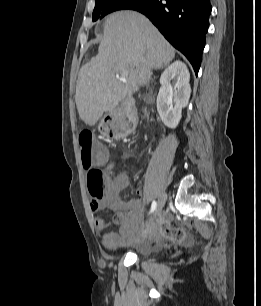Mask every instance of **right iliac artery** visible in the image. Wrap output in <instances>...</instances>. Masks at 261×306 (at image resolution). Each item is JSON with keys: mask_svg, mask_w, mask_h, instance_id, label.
I'll return each instance as SVG.
<instances>
[{"mask_svg": "<svg viewBox=\"0 0 261 306\" xmlns=\"http://www.w3.org/2000/svg\"><path fill=\"white\" fill-rule=\"evenodd\" d=\"M156 206H157L156 201H153V202H152V205H151V210H150V213H152V212H154V211H155Z\"/></svg>", "mask_w": 261, "mask_h": 306, "instance_id": "82829eb1", "label": "right iliac artery"}]
</instances>
